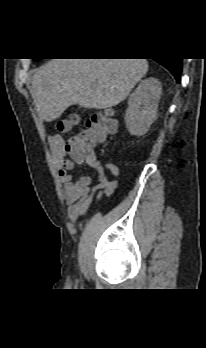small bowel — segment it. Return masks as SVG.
I'll return each mask as SVG.
<instances>
[{
    "mask_svg": "<svg viewBox=\"0 0 206 348\" xmlns=\"http://www.w3.org/2000/svg\"><path fill=\"white\" fill-rule=\"evenodd\" d=\"M63 140L60 136H55L51 141V150L54 162L57 166L59 179L63 183L65 200L68 207V215L71 222H76L79 217L87 215L90 203L95 198L100 200L103 196L110 195L118 184L119 168L108 162L99 160L93 152L84 160H70L61 148ZM74 163L86 164L95 169L97 180L92 184L89 175H81L74 180L70 175ZM110 172L114 177L110 179L107 175Z\"/></svg>",
    "mask_w": 206,
    "mask_h": 348,
    "instance_id": "small-bowel-1",
    "label": "small bowel"
}]
</instances>
